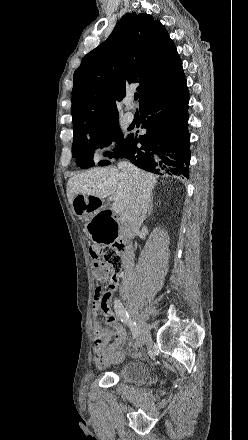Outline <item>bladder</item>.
Returning a JSON list of instances; mask_svg holds the SVG:
<instances>
[{
  "mask_svg": "<svg viewBox=\"0 0 248 440\" xmlns=\"http://www.w3.org/2000/svg\"><path fill=\"white\" fill-rule=\"evenodd\" d=\"M149 375V367L142 362H128L115 371V377L117 380L124 384H133L144 381Z\"/></svg>",
  "mask_w": 248,
  "mask_h": 440,
  "instance_id": "1",
  "label": "bladder"
}]
</instances>
